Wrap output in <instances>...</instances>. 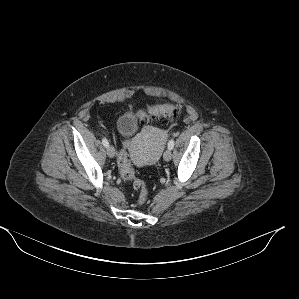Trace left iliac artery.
Masks as SVG:
<instances>
[{
  "mask_svg": "<svg viewBox=\"0 0 299 299\" xmlns=\"http://www.w3.org/2000/svg\"><path fill=\"white\" fill-rule=\"evenodd\" d=\"M173 147H174V140L172 139L168 142V149L172 150Z\"/></svg>",
  "mask_w": 299,
  "mask_h": 299,
  "instance_id": "1",
  "label": "left iliac artery"
}]
</instances>
